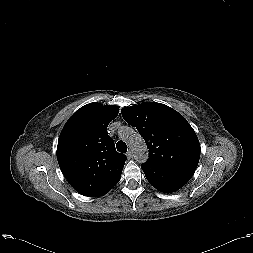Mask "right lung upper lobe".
<instances>
[{
  "label": "right lung upper lobe",
  "mask_w": 253,
  "mask_h": 253,
  "mask_svg": "<svg viewBox=\"0 0 253 253\" xmlns=\"http://www.w3.org/2000/svg\"><path fill=\"white\" fill-rule=\"evenodd\" d=\"M118 112L115 105L90 103L78 109L61 131L57 146L60 169L84 196H102L120 180L127 157L116 151L107 132Z\"/></svg>",
  "instance_id": "right-lung-upper-lobe-1"
}]
</instances>
